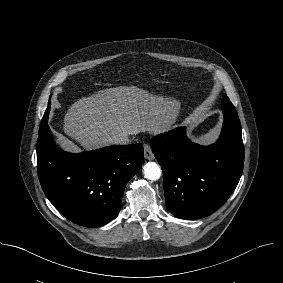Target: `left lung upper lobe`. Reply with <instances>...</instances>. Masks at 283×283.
Instances as JSON below:
<instances>
[{"mask_svg": "<svg viewBox=\"0 0 283 283\" xmlns=\"http://www.w3.org/2000/svg\"><path fill=\"white\" fill-rule=\"evenodd\" d=\"M223 100H222V103H225V104H230L231 102H230V100H229V98L226 96V94H223Z\"/></svg>", "mask_w": 283, "mask_h": 283, "instance_id": "5c2ea615", "label": "left lung upper lobe"}]
</instances>
